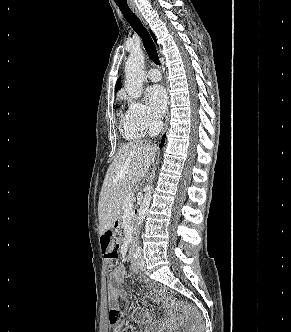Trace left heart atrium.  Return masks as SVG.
<instances>
[{"label":"left heart atrium","mask_w":291,"mask_h":332,"mask_svg":"<svg viewBox=\"0 0 291 332\" xmlns=\"http://www.w3.org/2000/svg\"><path fill=\"white\" fill-rule=\"evenodd\" d=\"M146 97L150 104L151 113L155 118H160L166 111L168 96L161 85H152L146 90Z\"/></svg>","instance_id":"39dd6f15"}]
</instances>
